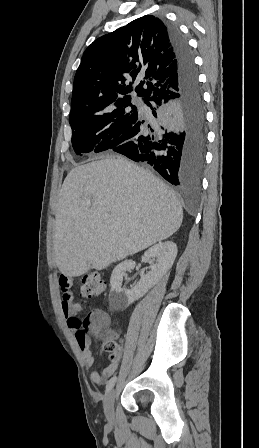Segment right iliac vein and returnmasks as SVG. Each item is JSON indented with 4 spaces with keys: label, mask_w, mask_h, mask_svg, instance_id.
<instances>
[{
    "label": "right iliac vein",
    "mask_w": 259,
    "mask_h": 448,
    "mask_svg": "<svg viewBox=\"0 0 259 448\" xmlns=\"http://www.w3.org/2000/svg\"><path fill=\"white\" fill-rule=\"evenodd\" d=\"M115 389H111L107 392L104 400V413L109 422L114 420V400H115Z\"/></svg>",
    "instance_id": "63e3f726"
}]
</instances>
